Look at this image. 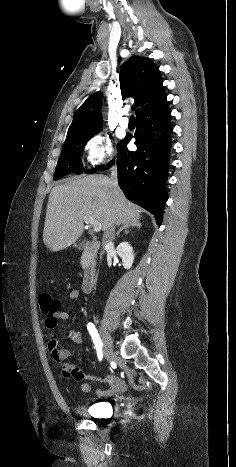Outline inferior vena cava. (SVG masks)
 <instances>
[{
  "instance_id": "obj_1",
  "label": "inferior vena cava",
  "mask_w": 236,
  "mask_h": 467,
  "mask_svg": "<svg viewBox=\"0 0 236 467\" xmlns=\"http://www.w3.org/2000/svg\"><path fill=\"white\" fill-rule=\"evenodd\" d=\"M111 182L114 187H118L117 183V170L116 168L111 171ZM115 226L110 225L109 228L105 231L102 239V248L105 249L107 246L113 245ZM104 251L101 253V255Z\"/></svg>"
}]
</instances>
